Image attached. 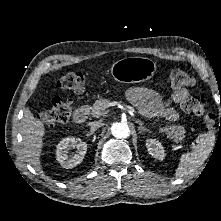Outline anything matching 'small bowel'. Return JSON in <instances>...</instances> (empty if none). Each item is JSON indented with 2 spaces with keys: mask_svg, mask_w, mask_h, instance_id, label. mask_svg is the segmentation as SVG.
Listing matches in <instances>:
<instances>
[{
  "mask_svg": "<svg viewBox=\"0 0 221 221\" xmlns=\"http://www.w3.org/2000/svg\"><path fill=\"white\" fill-rule=\"evenodd\" d=\"M127 98L141 113L148 117H164L168 121H176L179 118L172 104H182L189 99L187 89H175L169 99L163 101L160 95L145 87H132L126 92Z\"/></svg>",
  "mask_w": 221,
  "mask_h": 221,
  "instance_id": "small-bowel-1",
  "label": "small bowel"
}]
</instances>
